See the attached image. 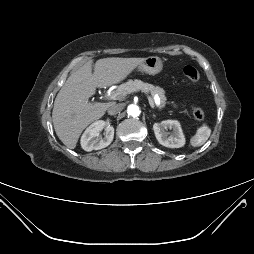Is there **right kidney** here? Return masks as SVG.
I'll return each mask as SVG.
<instances>
[{"label":"right kidney","mask_w":254,"mask_h":254,"mask_svg":"<svg viewBox=\"0 0 254 254\" xmlns=\"http://www.w3.org/2000/svg\"><path fill=\"white\" fill-rule=\"evenodd\" d=\"M105 128L104 138L99 137L100 131ZM114 138V128L103 120L95 121L83 133L81 137V147L89 152L99 150L111 144Z\"/></svg>","instance_id":"1"}]
</instances>
